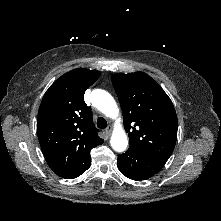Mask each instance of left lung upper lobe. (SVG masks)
<instances>
[{
    "instance_id": "left-lung-upper-lobe-1",
    "label": "left lung upper lobe",
    "mask_w": 221,
    "mask_h": 221,
    "mask_svg": "<svg viewBox=\"0 0 221 221\" xmlns=\"http://www.w3.org/2000/svg\"><path fill=\"white\" fill-rule=\"evenodd\" d=\"M111 80L123 112L129 148L166 163L174 150L178 129L170 98L143 72L114 74Z\"/></svg>"
}]
</instances>
